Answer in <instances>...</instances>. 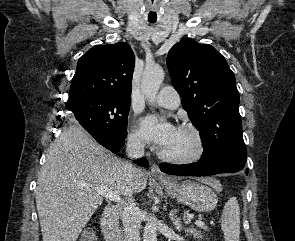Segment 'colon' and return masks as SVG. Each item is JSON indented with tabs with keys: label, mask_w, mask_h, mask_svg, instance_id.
I'll return each instance as SVG.
<instances>
[{
	"label": "colon",
	"mask_w": 295,
	"mask_h": 241,
	"mask_svg": "<svg viewBox=\"0 0 295 241\" xmlns=\"http://www.w3.org/2000/svg\"><path fill=\"white\" fill-rule=\"evenodd\" d=\"M93 232L90 229L83 230L80 241H93Z\"/></svg>",
	"instance_id": "colon-1"
}]
</instances>
